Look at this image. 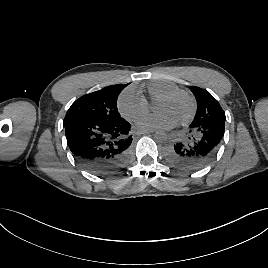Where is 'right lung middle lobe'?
I'll return each instance as SVG.
<instances>
[{
	"label": "right lung middle lobe",
	"mask_w": 268,
	"mask_h": 268,
	"mask_svg": "<svg viewBox=\"0 0 268 268\" xmlns=\"http://www.w3.org/2000/svg\"><path fill=\"white\" fill-rule=\"evenodd\" d=\"M111 85L101 90L86 94L76 100L66 113L64 126L72 120L87 118L92 120L114 122L121 118L117 109L119 93L127 86Z\"/></svg>",
	"instance_id": "dd1d6c3e"
}]
</instances>
